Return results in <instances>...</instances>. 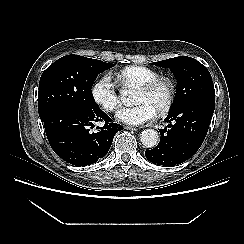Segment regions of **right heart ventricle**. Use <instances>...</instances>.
Returning <instances> with one entry per match:
<instances>
[{"label": "right heart ventricle", "mask_w": 244, "mask_h": 244, "mask_svg": "<svg viewBox=\"0 0 244 244\" xmlns=\"http://www.w3.org/2000/svg\"><path fill=\"white\" fill-rule=\"evenodd\" d=\"M159 73L146 66H128L115 74L117 83L122 88H138L158 77Z\"/></svg>", "instance_id": "obj_1"}]
</instances>
